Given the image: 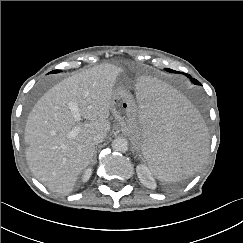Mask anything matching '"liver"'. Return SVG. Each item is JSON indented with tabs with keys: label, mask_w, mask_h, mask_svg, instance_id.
I'll return each mask as SVG.
<instances>
[{
	"label": "liver",
	"mask_w": 243,
	"mask_h": 243,
	"mask_svg": "<svg viewBox=\"0 0 243 243\" xmlns=\"http://www.w3.org/2000/svg\"><path fill=\"white\" fill-rule=\"evenodd\" d=\"M122 72L115 65L101 64L75 73L46 92L29 113L24 136L27 163L36 179L53 192H72L79 175L93 162L92 137L110 131L111 100ZM69 102L78 105L87 122L75 121ZM74 127L80 130L71 137Z\"/></svg>",
	"instance_id": "6515ba94"
}]
</instances>
